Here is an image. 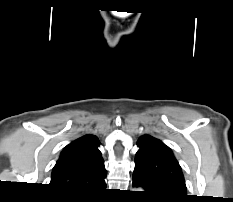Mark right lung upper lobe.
<instances>
[{
    "label": "right lung upper lobe",
    "mask_w": 233,
    "mask_h": 202,
    "mask_svg": "<svg viewBox=\"0 0 233 202\" xmlns=\"http://www.w3.org/2000/svg\"><path fill=\"white\" fill-rule=\"evenodd\" d=\"M100 142L85 135L68 144L54 166L50 187L70 196L86 197L106 188V170Z\"/></svg>",
    "instance_id": "right-lung-upper-lobe-1"
}]
</instances>
